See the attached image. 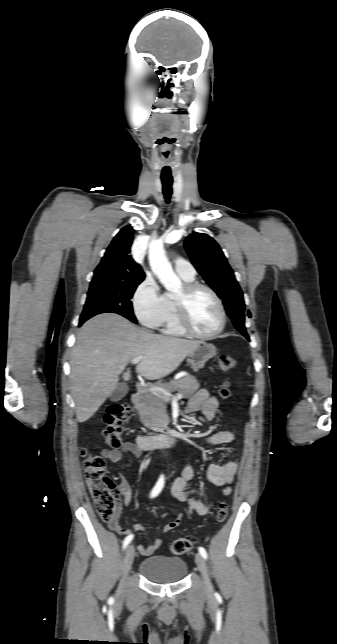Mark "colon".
Wrapping results in <instances>:
<instances>
[{"label":"colon","mask_w":337,"mask_h":644,"mask_svg":"<svg viewBox=\"0 0 337 644\" xmlns=\"http://www.w3.org/2000/svg\"><path fill=\"white\" fill-rule=\"evenodd\" d=\"M220 370L224 373L231 372L236 367V361L230 356L222 355L217 359ZM219 396L227 399L230 396V387L227 382L219 388ZM129 408L126 404H113L109 406L105 416L103 435L106 444L112 449L122 445L123 424L126 421ZM84 456L83 467L86 483L89 488L95 509L100 518L107 523L112 522L117 515V500L114 492V483L106 474V461L102 456L92 455L87 450H82ZM228 515L225 502L220 503L216 512L218 522H224ZM193 547L189 538H178L171 544V552L182 555Z\"/></svg>","instance_id":"1"}]
</instances>
